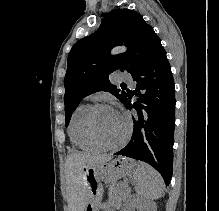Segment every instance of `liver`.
Here are the masks:
<instances>
[{"label": "liver", "mask_w": 219, "mask_h": 211, "mask_svg": "<svg viewBox=\"0 0 219 211\" xmlns=\"http://www.w3.org/2000/svg\"><path fill=\"white\" fill-rule=\"evenodd\" d=\"M111 159V155H86V153H70L66 161L67 203L69 211H84L87 201L86 189L82 183V165H98Z\"/></svg>", "instance_id": "1"}]
</instances>
